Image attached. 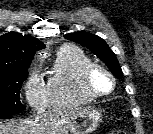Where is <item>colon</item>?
Wrapping results in <instances>:
<instances>
[{
    "instance_id": "colon-1",
    "label": "colon",
    "mask_w": 153,
    "mask_h": 134,
    "mask_svg": "<svg viewBox=\"0 0 153 134\" xmlns=\"http://www.w3.org/2000/svg\"><path fill=\"white\" fill-rule=\"evenodd\" d=\"M110 134H125V133L118 131V132H113V133H110Z\"/></svg>"
}]
</instances>
